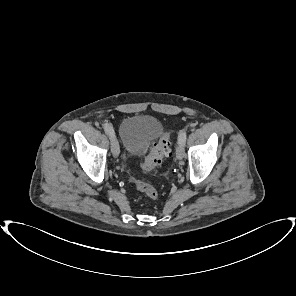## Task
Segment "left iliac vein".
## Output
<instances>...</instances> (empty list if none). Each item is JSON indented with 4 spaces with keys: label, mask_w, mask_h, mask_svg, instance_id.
I'll return each mask as SVG.
<instances>
[{
    "label": "left iliac vein",
    "mask_w": 296,
    "mask_h": 296,
    "mask_svg": "<svg viewBox=\"0 0 296 296\" xmlns=\"http://www.w3.org/2000/svg\"><path fill=\"white\" fill-rule=\"evenodd\" d=\"M185 156L184 153V143L178 142V145L176 147V157L178 160H182Z\"/></svg>",
    "instance_id": "1"
}]
</instances>
